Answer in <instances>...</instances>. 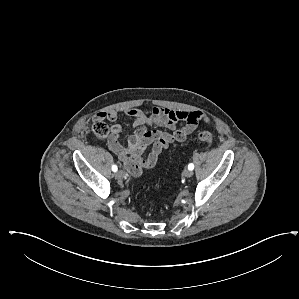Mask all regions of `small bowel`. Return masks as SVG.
<instances>
[{"mask_svg": "<svg viewBox=\"0 0 299 299\" xmlns=\"http://www.w3.org/2000/svg\"><path fill=\"white\" fill-rule=\"evenodd\" d=\"M103 119L117 122L125 119L132 122L134 133L129 137L126 145L119 142V134L122 130L116 123L111 128L109 148L122 161L124 168L132 176H139L145 169L153 168L160 153L174 142H184L196 129L199 122L211 124L210 118L202 111H182L163 107H153L150 114L141 109H127L123 115L117 111L99 113ZM182 123V126L178 125ZM158 128H165L163 131ZM151 151L146 158L143 152L149 145Z\"/></svg>", "mask_w": 299, "mask_h": 299, "instance_id": "c3829d8e", "label": "small bowel"}]
</instances>
